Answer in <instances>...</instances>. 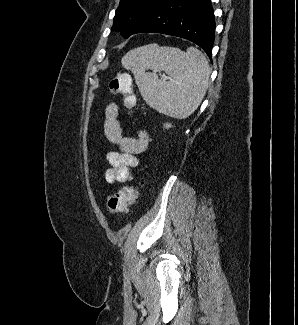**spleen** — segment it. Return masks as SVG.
<instances>
[{
  "mask_svg": "<svg viewBox=\"0 0 298 325\" xmlns=\"http://www.w3.org/2000/svg\"><path fill=\"white\" fill-rule=\"evenodd\" d=\"M121 62L133 72L145 102L167 116L187 118L206 94L210 66L195 46H189L184 52L176 46H159L153 42L128 50ZM161 70L169 74L170 80L159 78Z\"/></svg>",
  "mask_w": 298,
  "mask_h": 325,
  "instance_id": "spleen-1",
  "label": "spleen"
}]
</instances>
